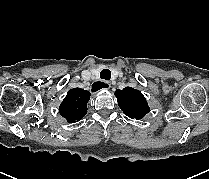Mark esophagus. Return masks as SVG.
<instances>
[{"mask_svg": "<svg viewBox=\"0 0 209 179\" xmlns=\"http://www.w3.org/2000/svg\"><path fill=\"white\" fill-rule=\"evenodd\" d=\"M110 87H111V84L108 81L96 82L92 85V92H96L100 90L101 88L109 89Z\"/></svg>", "mask_w": 209, "mask_h": 179, "instance_id": "1", "label": "esophagus"}]
</instances>
